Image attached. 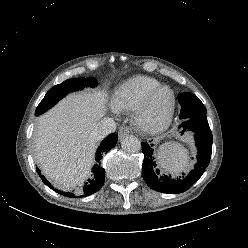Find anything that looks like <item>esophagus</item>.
I'll return each instance as SVG.
<instances>
[{
	"label": "esophagus",
	"mask_w": 248,
	"mask_h": 248,
	"mask_svg": "<svg viewBox=\"0 0 248 248\" xmlns=\"http://www.w3.org/2000/svg\"><path fill=\"white\" fill-rule=\"evenodd\" d=\"M129 133H130L129 127H127V126H122V127H120V129H119L118 137H119V139H123L125 136L129 135Z\"/></svg>",
	"instance_id": "obj_1"
}]
</instances>
